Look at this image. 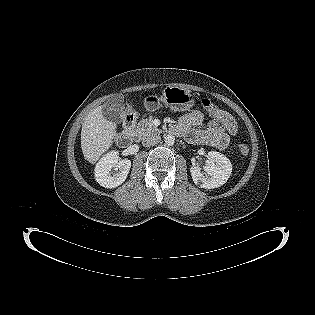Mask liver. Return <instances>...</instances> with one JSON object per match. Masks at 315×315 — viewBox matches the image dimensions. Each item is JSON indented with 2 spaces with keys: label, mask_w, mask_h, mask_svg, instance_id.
I'll use <instances>...</instances> for the list:
<instances>
[{
  "label": "liver",
  "mask_w": 315,
  "mask_h": 315,
  "mask_svg": "<svg viewBox=\"0 0 315 315\" xmlns=\"http://www.w3.org/2000/svg\"><path fill=\"white\" fill-rule=\"evenodd\" d=\"M121 103L122 97L115 106L118 108ZM103 108L104 106H99L93 109L82 124L81 149L85 159L91 164L100 159L118 136L116 123L103 116Z\"/></svg>",
  "instance_id": "1"
}]
</instances>
